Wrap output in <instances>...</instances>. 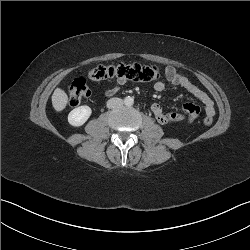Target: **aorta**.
I'll return each instance as SVG.
<instances>
[{"label":"aorta","instance_id":"aorta-1","mask_svg":"<svg viewBox=\"0 0 250 250\" xmlns=\"http://www.w3.org/2000/svg\"><path fill=\"white\" fill-rule=\"evenodd\" d=\"M124 104L126 106H132L134 104V99L133 97L127 96L124 98Z\"/></svg>","mask_w":250,"mask_h":250}]
</instances>
